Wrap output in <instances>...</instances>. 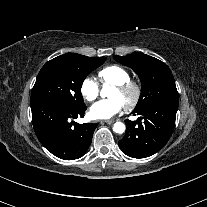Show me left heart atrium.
Listing matches in <instances>:
<instances>
[{
	"label": "left heart atrium",
	"instance_id": "obj_1",
	"mask_svg": "<svg viewBox=\"0 0 207 207\" xmlns=\"http://www.w3.org/2000/svg\"><path fill=\"white\" fill-rule=\"evenodd\" d=\"M125 108L126 104L120 98L102 99L90 107L89 114L94 119L106 120L122 113Z\"/></svg>",
	"mask_w": 207,
	"mask_h": 207
}]
</instances>
